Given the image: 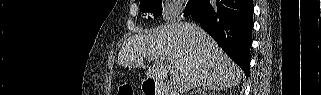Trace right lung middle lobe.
<instances>
[{"mask_svg":"<svg viewBox=\"0 0 321 95\" xmlns=\"http://www.w3.org/2000/svg\"><path fill=\"white\" fill-rule=\"evenodd\" d=\"M203 0H189L187 9L184 16H189L194 12ZM141 12H151L154 18L162 14V1L161 0H141ZM150 19V17H148Z\"/></svg>","mask_w":321,"mask_h":95,"instance_id":"1","label":"right lung middle lobe"}]
</instances>
